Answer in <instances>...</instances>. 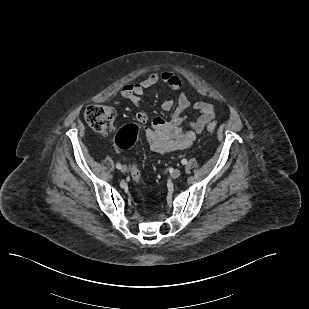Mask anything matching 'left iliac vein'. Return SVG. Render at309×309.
Masks as SVG:
<instances>
[{
    "label": "left iliac vein",
    "mask_w": 309,
    "mask_h": 309,
    "mask_svg": "<svg viewBox=\"0 0 309 309\" xmlns=\"http://www.w3.org/2000/svg\"><path fill=\"white\" fill-rule=\"evenodd\" d=\"M181 175V171L179 169H175L172 173H171V177L173 179H177L179 178Z\"/></svg>",
    "instance_id": "obj_1"
}]
</instances>
